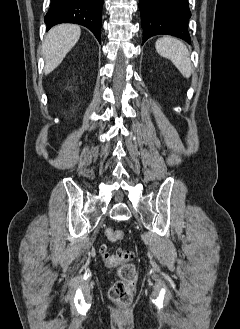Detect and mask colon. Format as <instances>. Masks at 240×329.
Segmentation results:
<instances>
[{"mask_svg":"<svg viewBox=\"0 0 240 329\" xmlns=\"http://www.w3.org/2000/svg\"><path fill=\"white\" fill-rule=\"evenodd\" d=\"M106 235L113 242L120 241L124 234L123 231L108 228ZM102 258L107 266L116 268L119 280H117L109 290L110 299L120 305L128 306L133 300V292L137 282V272L133 265L126 264L132 253L128 250H118L111 252L107 248L101 250Z\"/></svg>","mask_w":240,"mask_h":329,"instance_id":"1","label":"colon"}]
</instances>
